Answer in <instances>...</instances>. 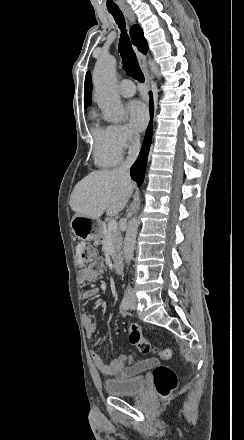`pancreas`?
Wrapping results in <instances>:
<instances>
[{
  "label": "pancreas",
  "instance_id": "cf45deb5",
  "mask_svg": "<svg viewBox=\"0 0 244 440\" xmlns=\"http://www.w3.org/2000/svg\"><path fill=\"white\" fill-rule=\"evenodd\" d=\"M109 236H110V240H111V244L115 250V252H121L122 250V236H121V232L120 230H114V232H109ZM100 238H106V234L105 232H101V234H99L97 240H100ZM112 256V260H115L116 256H114V254H111Z\"/></svg>",
  "mask_w": 244,
  "mask_h": 440
}]
</instances>
